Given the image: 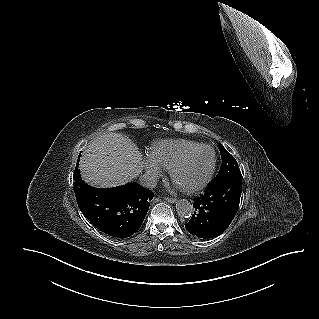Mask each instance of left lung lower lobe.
I'll return each mask as SVG.
<instances>
[{"label":"left lung lower lobe","instance_id":"0a47b994","mask_svg":"<svg viewBox=\"0 0 319 319\" xmlns=\"http://www.w3.org/2000/svg\"><path fill=\"white\" fill-rule=\"evenodd\" d=\"M242 192V177L231 176L209 184L204 193L194 199V215L185 225L187 231L207 239L221 234L235 217Z\"/></svg>","mask_w":319,"mask_h":319}]
</instances>
